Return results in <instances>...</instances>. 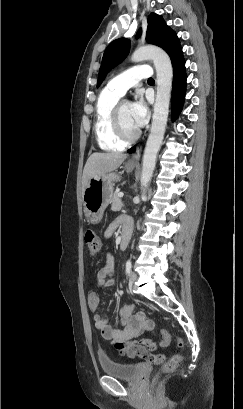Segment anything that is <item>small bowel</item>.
Masks as SVG:
<instances>
[{"instance_id":"c3829d8e","label":"small bowel","mask_w":243,"mask_h":409,"mask_svg":"<svg viewBox=\"0 0 243 409\" xmlns=\"http://www.w3.org/2000/svg\"><path fill=\"white\" fill-rule=\"evenodd\" d=\"M122 223L123 230L132 228L131 220L119 218L105 232V237H110L116 227ZM115 272V258L110 252L104 255V263L97 274L98 284L101 287H112L114 280L112 276ZM101 306L99 301L95 307H90L93 311V321L96 329L102 337L111 341L116 351L130 358H143L146 360H161L162 356L157 353V346L151 339L145 338L142 334L151 331L153 323L141 312L132 314L134 305H125L119 309L117 316L123 329L114 328L109 323L106 314L97 312Z\"/></svg>"}]
</instances>
